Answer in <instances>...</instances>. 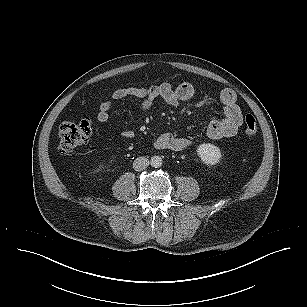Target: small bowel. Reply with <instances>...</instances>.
Masks as SVG:
<instances>
[{
  "label": "small bowel",
  "instance_id": "1",
  "mask_svg": "<svg viewBox=\"0 0 307 307\" xmlns=\"http://www.w3.org/2000/svg\"><path fill=\"white\" fill-rule=\"evenodd\" d=\"M194 94L195 88L189 82H183L177 86L164 82L149 87H122L114 90L110 99L100 104L96 118L101 123L107 122L109 113L114 106V101L118 100L139 99V109L146 112L154 106L158 98H161L170 106H178L180 103L190 100ZM219 100L223 106L224 117L213 119L208 124L207 135L212 139L235 136L243 120L234 91L231 89L222 90L219 94ZM122 136L126 139H131L134 133L132 130L127 129L122 132ZM154 144L158 149L181 151L189 147L191 142L186 137L163 133L156 138Z\"/></svg>",
  "mask_w": 307,
  "mask_h": 307
}]
</instances>
